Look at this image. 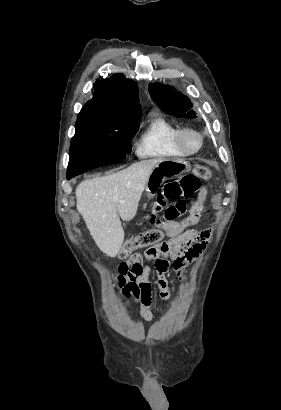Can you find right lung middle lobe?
Wrapping results in <instances>:
<instances>
[{
    "label": "right lung middle lobe",
    "mask_w": 281,
    "mask_h": 410,
    "mask_svg": "<svg viewBox=\"0 0 281 410\" xmlns=\"http://www.w3.org/2000/svg\"><path fill=\"white\" fill-rule=\"evenodd\" d=\"M139 116L105 118L80 111L71 140L67 175L75 176L95 167L117 163L126 157L138 130Z\"/></svg>",
    "instance_id": "dd1d6c3e"
}]
</instances>
